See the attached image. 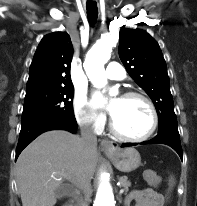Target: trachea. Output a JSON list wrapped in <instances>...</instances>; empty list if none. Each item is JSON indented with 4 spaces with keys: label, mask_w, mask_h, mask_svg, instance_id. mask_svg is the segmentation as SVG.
<instances>
[{
    "label": "trachea",
    "mask_w": 197,
    "mask_h": 206,
    "mask_svg": "<svg viewBox=\"0 0 197 206\" xmlns=\"http://www.w3.org/2000/svg\"><path fill=\"white\" fill-rule=\"evenodd\" d=\"M87 15L90 23L94 24L98 15V8L96 2L87 1L86 3Z\"/></svg>",
    "instance_id": "obj_1"
}]
</instances>
